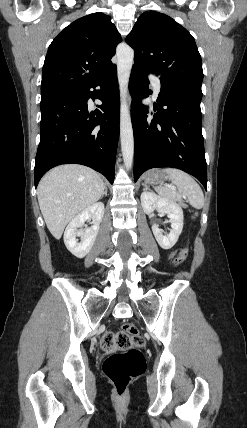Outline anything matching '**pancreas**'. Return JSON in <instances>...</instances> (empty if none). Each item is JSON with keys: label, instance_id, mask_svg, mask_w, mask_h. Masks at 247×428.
<instances>
[{"label": "pancreas", "instance_id": "obj_1", "mask_svg": "<svg viewBox=\"0 0 247 428\" xmlns=\"http://www.w3.org/2000/svg\"><path fill=\"white\" fill-rule=\"evenodd\" d=\"M180 205H181V206H183L184 208H186V207H187V205H185V204H183V203H180Z\"/></svg>", "mask_w": 247, "mask_h": 428}]
</instances>
